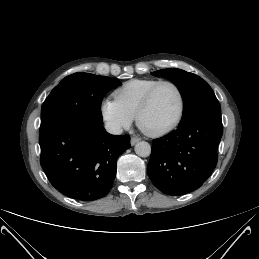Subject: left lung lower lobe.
I'll return each mask as SVG.
<instances>
[{
  "mask_svg": "<svg viewBox=\"0 0 259 259\" xmlns=\"http://www.w3.org/2000/svg\"><path fill=\"white\" fill-rule=\"evenodd\" d=\"M222 120L203 117L154 139L147 173L164 194L179 196L203 185L214 170Z\"/></svg>",
  "mask_w": 259,
  "mask_h": 259,
  "instance_id": "0a47b994",
  "label": "left lung lower lobe"
}]
</instances>
